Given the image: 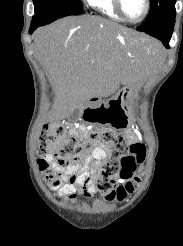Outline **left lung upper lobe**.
Returning a JSON list of instances; mask_svg holds the SVG:
<instances>
[{
	"label": "left lung upper lobe",
	"instance_id": "obj_1",
	"mask_svg": "<svg viewBox=\"0 0 183 246\" xmlns=\"http://www.w3.org/2000/svg\"><path fill=\"white\" fill-rule=\"evenodd\" d=\"M175 3L176 0H150V13L137 30L144 32L173 23L176 15Z\"/></svg>",
	"mask_w": 183,
	"mask_h": 246
}]
</instances>
